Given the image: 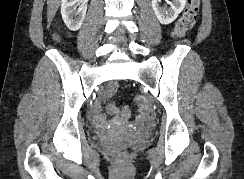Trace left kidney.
I'll return each mask as SVG.
<instances>
[{"instance_id": "left-kidney-1", "label": "left kidney", "mask_w": 244, "mask_h": 179, "mask_svg": "<svg viewBox=\"0 0 244 179\" xmlns=\"http://www.w3.org/2000/svg\"><path fill=\"white\" fill-rule=\"evenodd\" d=\"M159 2H161V0H152V8L160 24H164V26L174 22L177 16L184 10L186 4V0H172L170 8H168V10H163V8H160Z\"/></svg>"}]
</instances>
